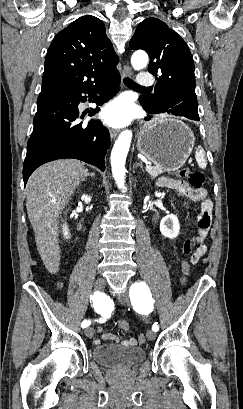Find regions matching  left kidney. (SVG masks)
<instances>
[{"label": "left kidney", "mask_w": 243, "mask_h": 409, "mask_svg": "<svg viewBox=\"0 0 243 409\" xmlns=\"http://www.w3.org/2000/svg\"><path fill=\"white\" fill-rule=\"evenodd\" d=\"M160 231L162 235L167 238H176L180 231V224L177 216L174 214H169L163 217L160 222Z\"/></svg>", "instance_id": "1"}]
</instances>
